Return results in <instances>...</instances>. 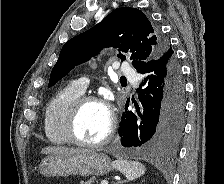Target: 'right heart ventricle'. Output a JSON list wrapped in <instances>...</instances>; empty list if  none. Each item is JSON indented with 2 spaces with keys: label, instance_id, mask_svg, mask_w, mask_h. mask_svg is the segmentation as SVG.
<instances>
[{
  "label": "right heart ventricle",
  "instance_id": "right-heart-ventricle-1",
  "mask_svg": "<svg viewBox=\"0 0 224 184\" xmlns=\"http://www.w3.org/2000/svg\"><path fill=\"white\" fill-rule=\"evenodd\" d=\"M83 94L75 85H68L56 93L48 103L44 130L48 140L56 145L69 143L66 135V120L69 109L74 101Z\"/></svg>",
  "mask_w": 224,
  "mask_h": 184
}]
</instances>
